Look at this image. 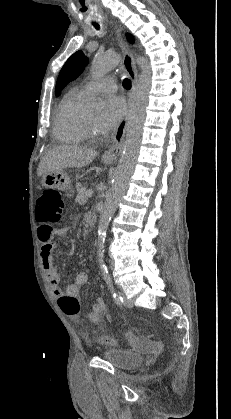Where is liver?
Returning <instances> with one entry per match:
<instances>
[{"label": "liver", "mask_w": 231, "mask_h": 419, "mask_svg": "<svg viewBox=\"0 0 231 419\" xmlns=\"http://www.w3.org/2000/svg\"><path fill=\"white\" fill-rule=\"evenodd\" d=\"M97 152L90 148L76 145H62L53 147L41 159L37 175L62 170L64 168H82L89 165L96 157Z\"/></svg>", "instance_id": "liver-1"}]
</instances>
